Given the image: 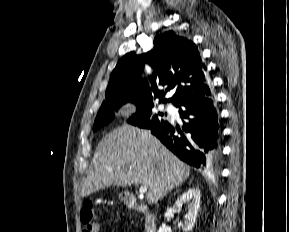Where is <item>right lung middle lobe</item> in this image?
Instances as JSON below:
<instances>
[{
  "mask_svg": "<svg viewBox=\"0 0 289 232\" xmlns=\"http://www.w3.org/2000/svg\"><path fill=\"white\" fill-rule=\"evenodd\" d=\"M129 101L136 105L137 112L128 120V123L140 128L151 129L166 121L162 118L164 115H167L166 113H156L153 111V102L133 97L118 96L107 99L102 103L94 122L93 131H97L102 126L110 123L114 119L115 113L118 111L119 107Z\"/></svg>",
  "mask_w": 289,
  "mask_h": 232,
  "instance_id": "right-lung-middle-lobe-1",
  "label": "right lung middle lobe"
}]
</instances>
